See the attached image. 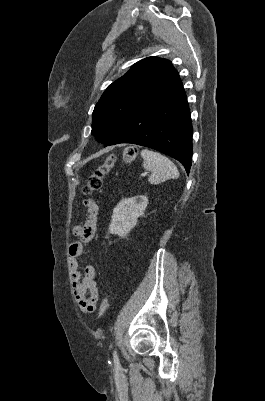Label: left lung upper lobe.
Here are the masks:
<instances>
[{"label":"left lung upper lobe","instance_id":"left-lung-upper-lobe-1","mask_svg":"<svg viewBox=\"0 0 265 401\" xmlns=\"http://www.w3.org/2000/svg\"><path fill=\"white\" fill-rule=\"evenodd\" d=\"M179 79L169 60L147 57L110 84L93 111L92 134L106 143L146 104Z\"/></svg>","mask_w":265,"mask_h":401}]
</instances>
